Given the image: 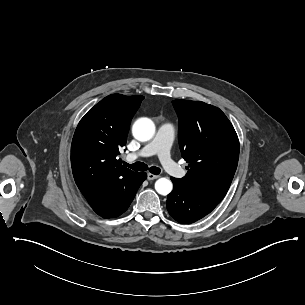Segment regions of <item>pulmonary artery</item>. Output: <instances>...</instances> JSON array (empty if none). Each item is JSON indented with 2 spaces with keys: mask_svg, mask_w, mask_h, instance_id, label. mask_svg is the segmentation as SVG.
Here are the masks:
<instances>
[{
  "mask_svg": "<svg viewBox=\"0 0 305 305\" xmlns=\"http://www.w3.org/2000/svg\"><path fill=\"white\" fill-rule=\"evenodd\" d=\"M174 128L171 124H161L152 139L141 150L132 151L129 160H141L145 156L157 155L161 160L160 165L164 172L175 178H183L185 171L178 169L176 163L170 157V141L173 139Z\"/></svg>",
  "mask_w": 305,
  "mask_h": 305,
  "instance_id": "obj_1",
  "label": "pulmonary artery"
}]
</instances>
